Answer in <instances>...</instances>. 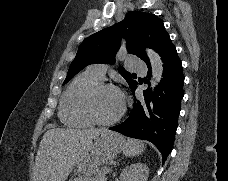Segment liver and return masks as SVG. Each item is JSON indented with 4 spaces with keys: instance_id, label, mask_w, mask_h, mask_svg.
Masks as SVG:
<instances>
[{
    "instance_id": "6515ba94",
    "label": "liver",
    "mask_w": 228,
    "mask_h": 181,
    "mask_svg": "<svg viewBox=\"0 0 228 181\" xmlns=\"http://www.w3.org/2000/svg\"><path fill=\"white\" fill-rule=\"evenodd\" d=\"M103 129H50L42 137L33 181H65L93 135Z\"/></svg>"
}]
</instances>
